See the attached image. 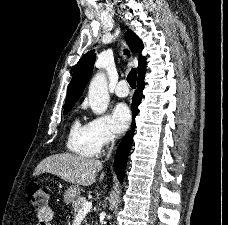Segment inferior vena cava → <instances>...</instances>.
<instances>
[{
	"instance_id": "inferior-vena-cava-1",
	"label": "inferior vena cava",
	"mask_w": 228,
	"mask_h": 225,
	"mask_svg": "<svg viewBox=\"0 0 228 225\" xmlns=\"http://www.w3.org/2000/svg\"><path fill=\"white\" fill-rule=\"evenodd\" d=\"M114 139H115V137H114V135H113V137H112V139H111V141H112V147H113ZM108 157H109V155H108Z\"/></svg>"
}]
</instances>
